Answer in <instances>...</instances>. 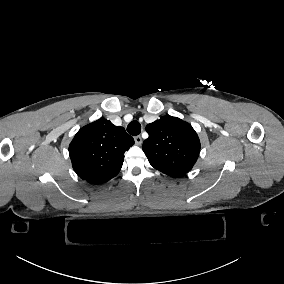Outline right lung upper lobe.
Wrapping results in <instances>:
<instances>
[{"instance_id": "1", "label": "right lung upper lobe", "mask_w": 284, "mask_h": 284, "mask_svg": "<svg viewBox=\"0 0 284 284\" xmlns=\"http://www.w3.org/2000/svg\"><path fill=\"white\" fill-rule=\"evenodd\" d=\"M134 139L105 118L82 127L69 145L73 169L83 180L101 184L115 177L123 164L124 153Z\"/></svg>"}]
</instances>
